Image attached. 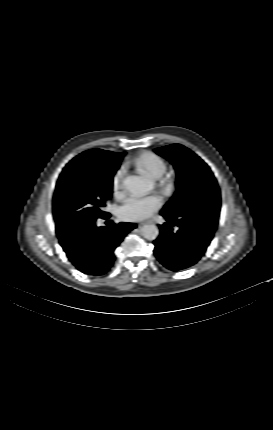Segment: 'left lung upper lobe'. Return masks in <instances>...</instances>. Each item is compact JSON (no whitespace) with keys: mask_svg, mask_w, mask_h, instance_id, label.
Wrapping results in <instances>:
<instances>
[{"mask_svg":"<svg viewBox=\"0 0 273 430\" xmlns=\"http://www.w3.org/2000/svg\"><path fill=\"white\" fill-rule=\"evenodd\" d=\"M155 151L168 159L177 172V191L162 211L175 215L177 219L192 220V211L202 202H217L220 206V190L210 168L188 148L173 144Z\"/></svg>","mask_w":273,"mask_h":430,"instance_id":"left-lung-upper-lobe-1","label":"left lung upper lobe"}]
</instances>
